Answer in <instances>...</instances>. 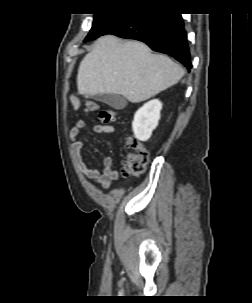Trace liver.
<instances>
[{
	"label": "liver",
	"instance_id": "obj_1",
	"mask_svg": "<svg viewBox=\"0 0 252 303\" xmlns=\"http://www.w3.org/2000/svg\"><path fill=\"white\" fill-rule=\"evenodd\" d=\"M183 75L180 65L165 55L152 54L144 43L106 35L81 61L77 88L85 96L119 94L138 103L175 85Z\"/></svg>",
	"mask_w": 252,
	"mask_h": 303
}]
</instances>
